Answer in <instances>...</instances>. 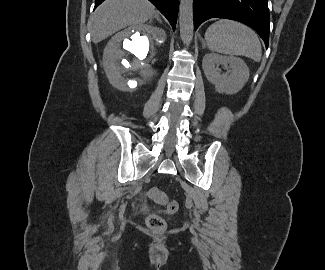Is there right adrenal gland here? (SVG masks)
Masks as SVG:
<instances>
[{
  "label": "right adrenal gland",
  "mask_w": 325,
  "mask_h": 270,
  "mask_svg": "<svg viewBox=\"0 0 325 270\" xmlns=\"http://www.w3.org/2000/svg\"><path fill=\"white\" fill-rule=\"evenodd\" d=\"M153 18H156L160 23H162L161 19L157 14H155ZM153 18L150 19V22L152 21Z\"/></svg>",
  "instance_id": "2a0ac1e0"
}]
</instances>
